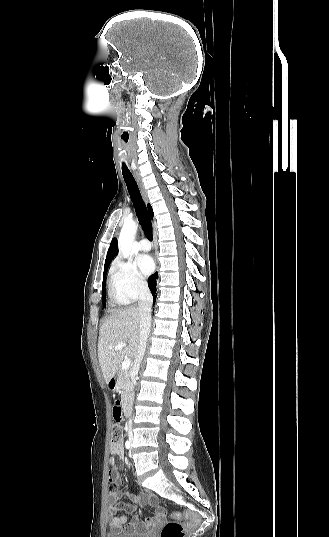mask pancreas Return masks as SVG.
Wrapping results in <instances>:
<instances>
[{
  "label": "pancreas",
  "instance_id": "1",
  "mask_svg": "<svg viewBox=\"0 0 329 537\" xmlns=\"http://www.w3.org/2000/svg\"><path fill=\"white\" fill-rule=\"evenodd\" d=\"M117 389L121 390L122 399L127 402L132 395V382L129 378V371L125 369H120L117 376Z\"/></svg>",
  "mask_w": 329,
  "mask_h": 537
}]
</instances>
